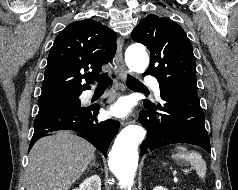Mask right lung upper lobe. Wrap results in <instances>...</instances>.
<instances>
[{
  "label": "right lung upper lobe",
  "instance_id": "obj_1",
  "mask_svg": "<svg viewBox=\"0 0 238 190\" xmlns=\"http://www.w3.org/2000/svg\"><path fill=\"white\" fill-rule=\"evenodd\" d=\"M115 52V33L107 26L92 19L71 23L58 34L50 50L39 101L77 96L90 89L92 76ZM82 78L86 84H81Z\"/></svg>",
  "mask_w": 238,
  "mask_h": 190
}]
</instances>
